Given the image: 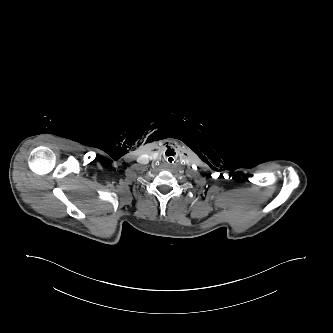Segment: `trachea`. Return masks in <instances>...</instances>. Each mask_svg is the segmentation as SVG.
<instances>
[{"mask_svg": "<svg viewBox=\"0 0 333 333\" xmlns=\"http://www.w3.org/2000/svg\"><path fill=\"white\" fill-rule=\"evenodd\" d=\"M165 161L169 164V165H174L175 163H177L178 161V156L175 152L170 151L166 154L165 156Z\"/></svg>", "mask_w": 333, "mask_h": 333, "instance_id": "obj_1", "label": "trachea"}]
</instances>
